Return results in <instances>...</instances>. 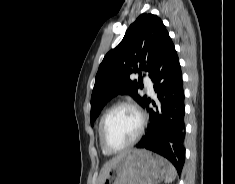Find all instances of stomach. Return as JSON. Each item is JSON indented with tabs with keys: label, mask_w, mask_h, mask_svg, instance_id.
Listing matches in <instances>:
<instances>
[{
	"label": "stomach",
	"mask_w": 235,
	"mask_h": 184,
	"mask_svg": "<svg viewBox=\"0 0 235 184\" xmlns=\"http://www.w3.org/2000/svg\"><path fill=\"white\" fill-rule=\"evenodd\" d=\"M167 160L148 150H131L114 164L103 184H159L167 174Z\"/></svg>",
	"instance_id": "stomach-1"
}]
</instances>
